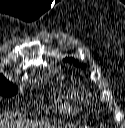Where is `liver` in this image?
Listing matches in <instances>:
<instances>
[{"instance_id": "1", "label": "liver", "mask_w": 125, "mask_h": 128, "mask_svg": "<svg viewBox=\"0 0 125 128\" xmlns=\"http://www.w3.org/2000/svg\"><path fill=\"white\" fill-rule=\"evenodd\" d=\"M40 126H43V125H40ZM3 127V124L1 123L0 124V128ZM45 128H56L55 126L53 125H45Z\"/></svg>"}]
</instances>
